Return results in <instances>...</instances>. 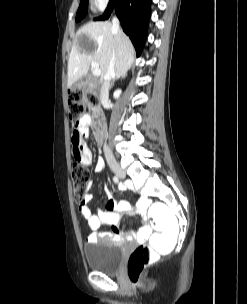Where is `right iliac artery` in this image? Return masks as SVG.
<instances>
[{
	"mask_svg": "<svg viewBox=\"0 0 247 304\" xmlns=\"http://www.w3.org/2000/svg\"><path fill=\"white\" fill-rule=\"evenodd\" d=\"M115 183H118V178L116 176L113 177Z\"/></svg>",
	"mask_w": 247,
	"mask_h": 304,
	"instance_id": "82829eb1",
	"label": "right iliac artery"
}]
</instances>
